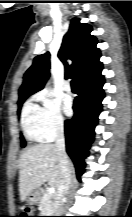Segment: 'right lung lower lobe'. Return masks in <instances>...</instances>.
<instances>
[{
	"label": "right lung lower lobe",
	"mask_w": 132,
	"mask_h": 217,
	"mask_svg": "<svg viewBox=\"0 0 132 217\" xmlns=\"http://www.w3.org/2000/svg\"><path fill=\"white\" fill-rule=\"evenodd\" d=\"M103 76L78 84V96L74 100V116L65 121L66 151L74 162L78 179L84 172V158L88 156L94 139V128L102 110L104 98Z\"/></svg>",
	"instance_id": "obj_1"
}]
</instances>
